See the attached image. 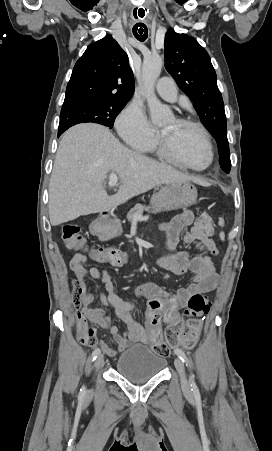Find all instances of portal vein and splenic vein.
I'll return each instance as SVG.
<instances>
[{"label": "portal vein and splenic vein", "mask_w": 272, "mask_h": 451, "mask_svg": "<svg viewBox=\"0 0 272 451\" xmlns=\"http://www.w3.org/2000/svg\"><path fill=\"white\" fill-rule=\"evenodd\" d=\"M79 164H81V162H79ZM117 182L118 178L116 174H110L108 186H116ZM144 220H148V216H142V214H135L133 218V224H136V222H144Z\"/></svg>", "instance_id": "obj_1"}]
</instances>
